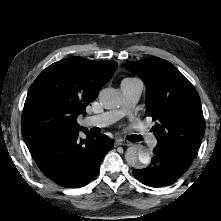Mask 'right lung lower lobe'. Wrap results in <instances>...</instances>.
I'll return each mask as SVG.
<instances>
[{
  "label": "right lung lower lobe",
  "instance_id": "1",
  "mask_svg": "<svg viewBox=\"0 0 221 221\" xmlns=\"http://www.w3.org/2000/svg\"><path fill=\"white\" fill-rule=\"evenodd\" d=\"M87 137L79 138V130L30 149L40 170L52 181L66 188L87 185L98 173L105 154L114 143L104 134L81 129Z\"/></svg>",
  "mask_w": 221,
  "mask_h": 221
}]
</instances>
